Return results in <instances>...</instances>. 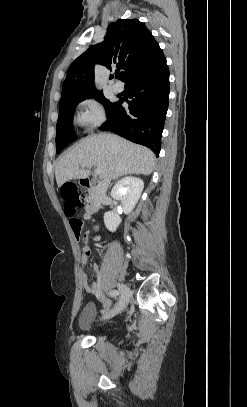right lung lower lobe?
Wrapping results in <instances>:
<instances>
[{"label":"right lung lower lobe","mask_w":247,"mask_h":407,"mask_svg":"<svg viewBox=\"0 0 247 407\" xmlns=\"http://www.w3.org/2000/svg\"><path fill=\"white\" fill-rule=\"evenodd\" d=\"M124 82L129 97H134L128 102L129 109L122 107L120 98L100 129L144 145L158 157L169 101L166 58L135 70Z\"/></svg>","instance_id":"98d812e1"}]
</instances>
